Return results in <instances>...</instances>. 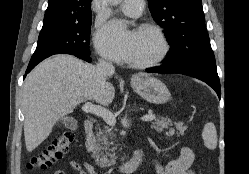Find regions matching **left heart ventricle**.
Returning <instances> with one entry per match:
<instances>
[{
  "mask_svg": "<svg viewBox=\"0 0 249 174\" xmlns=\"http://www.w3.org/2000/svg\"><path fill=\"white\" fill-rule=\"evenodd\" d=\"M161 51L158 37L150 31H136L131 62H140L156 56Z\"/></svg>",
  "mask_w": 249,
  "mask_h": 174,
  "instance_id": "1",
  "label": "left heart ventricle"
}]
</instances>
